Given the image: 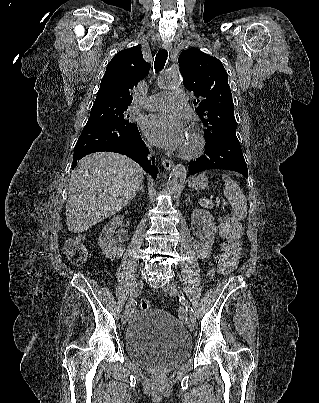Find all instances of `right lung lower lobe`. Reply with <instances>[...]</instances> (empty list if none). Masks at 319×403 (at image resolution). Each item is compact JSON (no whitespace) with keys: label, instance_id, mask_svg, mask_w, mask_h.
Segmentation results:
<instances>
[{"label":"right lung lower lobe","instance_id":"1","mask_svg":"<svg viewBox=\"0 0 319 403\" xmlns=\"http://www.w3.org/2000/svg\"><path fill=\"white\" fill-rule=\"evenodd\" d=\"M99 151L126 155L136 161L152 177H157L158 170L147 158L149 151L136 125L127 127L111 123L86 124L74 147L72 168L76 166L79 159Z\"/></svg>","mask_w":319,"mask_h":403}]
</instances>
